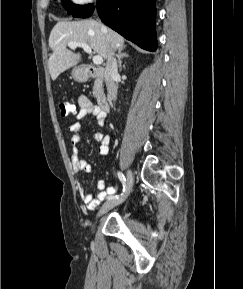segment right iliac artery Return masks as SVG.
<instances>
[{
  "label": "right iliac artery",
  "mask_w": 243,
  "mask_h": 289,
  "mask_svg": "<svg viewBox=\"0 0 243 289\" xmlns=\"http://www.w3.org/2000/svg\"><path fill=\"white\" fill-rule=\"evenodd\" d=\"M118 178H119V180L122 182V184H123V193H125L126 192V189H127V183H126V178H125V176L123 175V173L122 172H118ZM123 193H121V196L123 195ZM119 197V195H115V196H112V194H110L107 198L108 199H112V198H118Z\"/></svg>",
  "instance_id": "82829eb1"
}]
</instances>
